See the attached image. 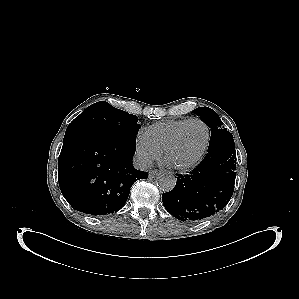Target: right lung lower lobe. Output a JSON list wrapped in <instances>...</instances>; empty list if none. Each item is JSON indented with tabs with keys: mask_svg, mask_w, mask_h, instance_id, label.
<instances>
[{
	"mask_svg": "<svg viewBox=\"0 0 299 299\" xmlns=\"http://www.w3.org/2000/svg\"><path fill=\"white\" fill-rule=\"evenodd\" d=\"M136 137L71 134L58 159L61 192L74 210L103 216L119 211L135 181L148 172L132 165Z\"/></svg>",
	"mask_w": 299,
	"mask_h": 299,
	"instance_id": "right-lung-lower-lobe-1",
	"label": "right lung lower lobe"
}]
</instances>
